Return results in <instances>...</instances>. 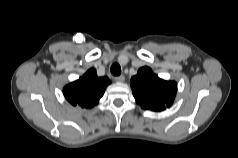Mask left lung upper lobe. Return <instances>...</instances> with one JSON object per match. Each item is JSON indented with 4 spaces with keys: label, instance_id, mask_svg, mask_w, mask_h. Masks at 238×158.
<instances>
[{
    "label": "left lung upper lobe",
    "instance_id": "left-lung-upper-lobe-1",
    "mask_svg": "<svg viewBox=\"0 0 238 158\" xmlns=\"http://www.w3.org/2000/svg\"><path fill=\"white\" fill-rule=\"evenodd\" d=\"M131 88L136 102L143 109L152 111L170 107L177 92L175 81L159 78L149 67L140 68L137 75L131 78Z\"/></svg>",
    "mask_w": 238,
    "mask_h": 158
}]
</instances>
